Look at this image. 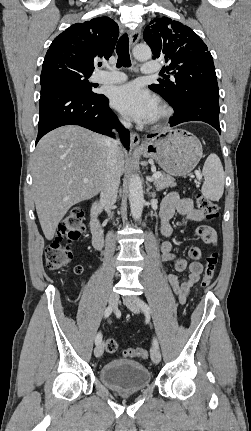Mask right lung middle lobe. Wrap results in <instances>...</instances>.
Returning <instances> with one entry per match:
<instances>
[{
  "mask_svg": "<svg viewBox=\"0 0 251 431\" xmlns=\"http://www.w3.org/2000/svg\"><path fill=\"white\" fill-rule=\"evenodd\" d=\"M92 72L86 71L70 62H53L42 68L41 86L48 83L68 84L83 93H95L93 84L88 81Z\"/></svg>",
  "mask_w": 251,
  "mask_h": 431,
  "instance_id": "right-lung-middle-lobe-1",
  "label": "right lung middle lobe"
}]
</instances>
